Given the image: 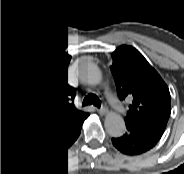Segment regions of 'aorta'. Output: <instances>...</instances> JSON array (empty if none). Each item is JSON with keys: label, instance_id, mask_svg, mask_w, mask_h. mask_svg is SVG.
Listing matches in <instances>:
<instances>
[{"label": "aorta", "instance_id": "obj_1", "mask_svg": "<svg viewBox=\"0 0 184 174\" xmlns=\"http://www.w3.org/2000/svg\"><path fill=\"white\" fill-rule=\"evenodd\" d=\"M88 80L91 84H98L102 80L101 72L96 67H90L88 70ZM105 125L110 133L120 135L125 129L123 118L115 113L110 112L105 117Z\"/></svg>", "mask_w": 184, "mask_h": 174}]
</instances>
